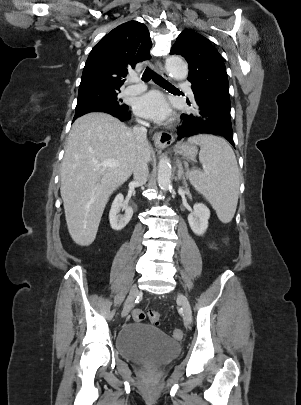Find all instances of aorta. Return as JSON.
I'll return each instance as SVG.
<instances>
[{
	"label": "aorta",
	"instance_id": "aorta-1",
	"mask_svg": "<svg viewBox=\"0 0 301 405\" xmlns=\"http://www.w3.org/2000/svg\"><path fill=\"white\" fill-rule=\"evenodd\" d=\"M165 67L167 72L176 80H183L188 75V66L179 56H170L166 59ZM172 168L167 157L160 159L158 164L157 181L163 191L171 187Z\"/></svg>",
	"mask_w": 301,
	"mask_h": 405
}]
</instances>
